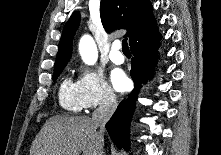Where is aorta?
Returning a JSON list of instances; mask_svg holds the SVG:
<instances>
[{"label":"aorta","instance_id":"1","mask_svg":"<svg viewBox=\"0 0 221 155\" xmlns=\"http://www.w3.org/2000/svg\"><path fill=\"white\" fill-rule=\"evenodd\" d=\"M79 52L82 60L88 65H94L98 58L97 46L93 38L85 35L79 43Z\"/></svg>","mask_w":221,"mask_h":155}]
</instances>
